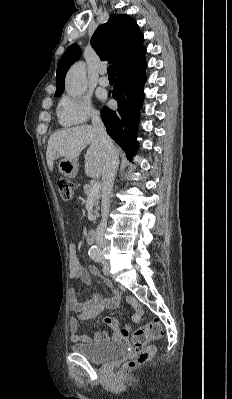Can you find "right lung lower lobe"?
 Listing matches in <instances>:
<instances>
[{
	"label": "right lung lower lobe",
	"instance_id": "right-lung-lower-lobe-1",
	"mask_svg": "<svg viewBox=\"0 0 232 399\" xmlns=\"http://www.w3.org/2000/svg\"><path fill=\"white\" fill-rule=\"evenodd\" d=\"M144 55L115 71L116 85L113 87L112 97L118 102V110L112 111L104 107L101 111L107 133L126 152L129 160H132L137 151L139 109L144 98L143 86L146 78Z\"/></svg>",
	"mask_w": 232,
	"mask_h": 399
}]
</instances>
